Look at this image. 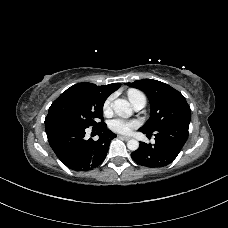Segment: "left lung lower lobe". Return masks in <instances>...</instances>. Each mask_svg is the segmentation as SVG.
Here are the masks:
<instances>
[{"mask_svg": "<svg viewBox=\"0 0 228 228\" xmlns=\"http://www.w3.org/2000/svg\"><path fill=\"white\" fill-rule=\"evenodd\" d=\"M188 128L189 123L170 124L161 128L155 132L154 145L142 142L139 148L131 153V157L137 164L149 168L164 167L170 164L187 141ZM142 132L147 135L152 134Z\"/></svg>", "mask_w": 228, "mask_h": 228, "instance_id": "left-lung-lower-lobe-1", "label": "left lung lower lobe"}]
</instances>
